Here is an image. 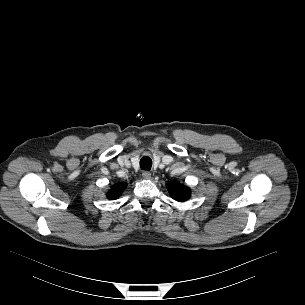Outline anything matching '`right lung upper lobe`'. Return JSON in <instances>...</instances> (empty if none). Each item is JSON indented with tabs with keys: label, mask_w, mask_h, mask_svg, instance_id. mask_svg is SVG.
I'll return each mask as SVG.
<instances>
[{
	"label": "right lung upper lobe",
	"mask_w": 305,
	"mask_h": 305,
	"mask_svg": "<svg viewBox=\"0 0 305 305\" xmlns=\"http://www.w3.org/2000/svg\"><path fill=\"white\" fill-rule=\"evenodd\" d=\"M125 188H126V184L124 183L115 184L112 187L111 191L108 193L109 198L110 199L118 198Z\"/></svg>",
	"instance_id": "right-lung-upper-lobe-1"
}]
</instances>
